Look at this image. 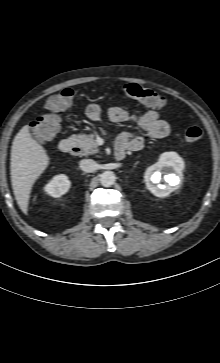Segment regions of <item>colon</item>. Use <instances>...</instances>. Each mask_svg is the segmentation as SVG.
<instances>
[{"label": "colon", "mask_w": 220, "mask_h": 363, "mask_svg": "<svg viewBox=\"0 0 220 363\" xmlns=\"http://www.w3.org/2000/svg\"><path fill=\"white\" fill-rule=\"evenodd\" d=\"M120 91L125 96L138 99L150 107L161 109L166 106L164 96L136 83L124 84L120 87ZM74 96L75 93L71 88H64L50 96L43 115L30 125L32 134L36 139L46 141L59 132L61 122L59 113L72 105ZM203 137V131L196 126L188 127L184 131V138L188 142H199Z\"/></svg>", "instance_id": "1"}]
</instances>
